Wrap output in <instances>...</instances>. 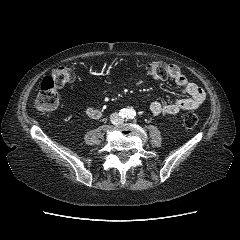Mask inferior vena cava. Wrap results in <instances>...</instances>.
Segmentation results:
<instances>
[{
  "label": "inferior vena cava",
  "instance_id": "602c4592",
  "mask_svg": "<svg viewBox=\"0 0 240 240\" xmlns=\"http://www.w3.org/2000/svg\"><path fill=\"white\" fill-rule=\"evenodd\" d=\"M111 120H112L114 123H120V122H122V118H120L117 113H113V114L111 115Z\"/></svg>",
  "mask_w": 240,
  "mask_h": 240
}]
</instances>
